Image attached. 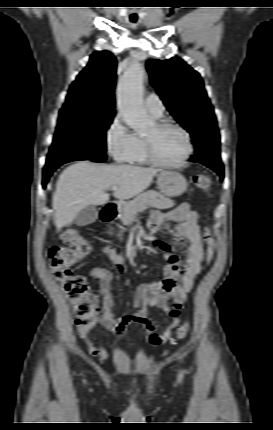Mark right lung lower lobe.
<instances>
[{
  "label": "right lung lower lobe",
  "mask_w": 273,
  "mask_h": 430,
  "mask_svg": "<svg viewBox=\"0 0 273 430\" xmlns=\"http://www.w3.org/2000/svg\"><path fill=\"white\" fill-rule=\"evenodd\" d=\"M106 155L105 154H103V155H101V156H99V157H96V158H93V159H91V161H94V162H104L105 160H106ZM59 167V166H58ZM58 167H54V168H51V169H48V170H44V172H43V175H44V177H43V182H42V185H43V187L45 188V186H46V183L48 182V180H49V177L52 175V173L58 168Z\"/></svg>",
  "instance_id": "right-lung-lower-lobe-1"
}]
</instances>
